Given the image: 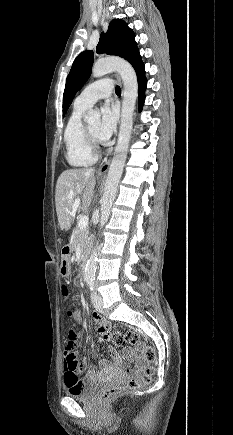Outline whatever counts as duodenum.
Segmentation results:
<instances>
[{"mask_svg": "<svg viewBox=\"0 0 233 435\" xmlns=\"http://www.w3.org/2000/svg\"><path fill=\"white\" fill-rule=\"evenodd\" d=\"M71 250H72V248H71L70 246H66V247L63 249V251H62V257H63L64 259H67V257H68V256L70 255V253H71ZM84 271H85L84 266H81V268H80V270H79V274H78L79 278H82V277H83V275H84Z\"/></svg>", "mask_w": 233, "mask_h": 435, "instance_id": "obj_1", "label": "duodenum"}]
</instances>
